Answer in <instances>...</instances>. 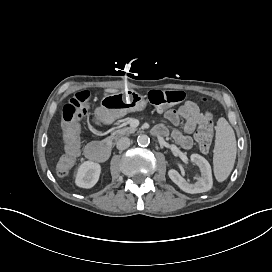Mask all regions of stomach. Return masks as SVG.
Returning a JSON list of instances; mask_svg holds the SVG:
<instances>
[{"label": "stomach", "instance_id": "0dacf381", "mask_svg": "<svg viewBox=\"0 0 272 272\" xmlns=\"http://www.w3.org/2000/svg\"><path fill=\"white\" fill-rule=\"evenodd\" d=\"M145 105V99L131 89L115 94H107L101 100V107L116 118L122 117L128 112L142 110Z\"/></svg>", "mask_w": 272, "mask_h": 272}]
</instances>
